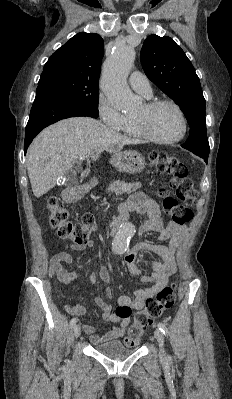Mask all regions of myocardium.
Instances as JSON below:
<instances>
[{"label": "myocardium", "mask_w": 232, "mask_h": 399, "mask_svg": "<svg viewBox=\"0 0 232 399\" xmlns=\"http://www.w3.org/2000/svg\"><path fill=\"white\" fill-rule=\"evenodd\" d=\"M161 105H170L178 111V113L181 117V120H182V125H183L182 132L179 136L172 138V139L158 138L149 132V130L145 126L143 120L134 118L133 120L136 125V128H137L138 132L140 133V135L145 140H148L150 142H154V143H158V144L177 143V142L181 141L187 134L188 123H187L185 113H184L183 109L178 104H176L173 101H169V100H151V101L145 102L144 107H145L146 111L150 112Z\"/></svg>", "instance_id": "obj_1"}]
</instances>
